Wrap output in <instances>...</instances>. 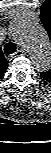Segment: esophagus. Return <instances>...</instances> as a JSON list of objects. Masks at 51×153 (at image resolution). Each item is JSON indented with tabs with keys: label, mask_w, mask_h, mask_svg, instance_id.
Here are the masks:
<instances>
[{
	"label": "esophagus",
	"mask_w": 51,
	"mask_h": 153,
	"mask_svg": "<svg viewBox=\"0 0 51 153\" xmlns=\"http://www.w3.org/2000/svg\"><path fill=\"white\" fill-rule=\"evenodd\" d=\"M25 55L24 51L23 50H18L14 55L13 57H19V56H23Z\"/></svg>",
	"instance_id": "1"
}]
</instances>
